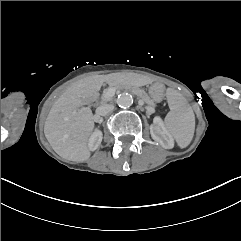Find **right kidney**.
Masks as SVG:
<instances>
[{
  "label": "right kidney",
  "mask_w": 241,
  "mask_h": 241,
  "mask_svg": "<svg viewBox=\"0 0 241 241\" xmlns=\"http://www.w3.org/2000/svg\"><path fill=\"white\" fill-rule=\"evenodd\" d=\"M102 142V133L100 131H96L89 141V149L94 151L96 150Z\"/></svg>",
  "instance_id": "1"
}]
</instances>
